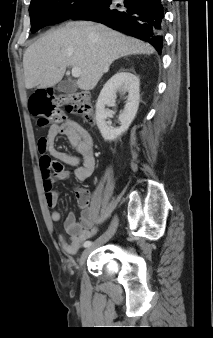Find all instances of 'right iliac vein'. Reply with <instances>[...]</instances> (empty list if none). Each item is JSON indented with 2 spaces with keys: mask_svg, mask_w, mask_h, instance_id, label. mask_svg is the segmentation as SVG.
I'll return each instance as SVG.
<instances>
[{
  "mask_svg": "<svg viewBox=\"0 0 213 338\" xmlns=\"http://www.w3.org/2000/svg\"><path fill=\"white\" fill-rule=\"evenodd\" d=\"M116 228H117V219L114 218V219L112 220V222H111L109 228L107 229V231H106L102 236H100L92 246L86 248V249L83 251V253H82V255H81L80 259H79V265H78V268H79V269H80V268L83 266V264L85 263V260H86L87 256H88L95 248H97V247H99L100 245L104 244L105 242H107V241L112 237V235H113L114 232L116 231Z\"/></svg>",
  "mask_w": 213,
  "mask_h": 338,
  "instance_id": "63e3f726",
  "label": "right iliac vein"
}]
</instances>
